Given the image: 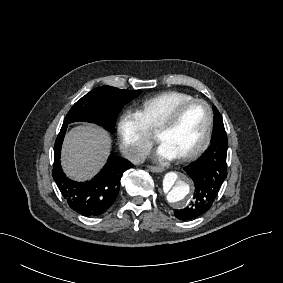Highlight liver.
<instances>
[{"label":"liver","mask_w":283,"mask_h":283,"mask_svg":"<svg viewBox=\"0 0 283 283\" xmlns=\"http://www.w3.org/2000/svg\"><path fill=\"white\" fill-rule=\"evenodd\" d=\"M109 149V135L101 129L91 125L72 129L63 146L62 164L67 175L89 179L102 167Z\"/></svg>","instance_id":"6515ba94"}]
</instances>
